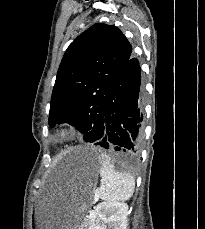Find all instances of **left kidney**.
<instances>
[{"label":"left kidney","mask_w":205,"mask_h":229,"mask_svg":"<svg viewBox=\"0 0 205 229\" xmlns=\"http://www.w3.org/2000/svg\"><path fill=\"white\" fill-rule=\"evenodd\" d=\"M128 205L124 202H101L90 217L88 229H126Z\"/></svg>","instance_id":"left-kidney-1"}]
</instances>
